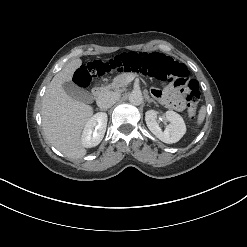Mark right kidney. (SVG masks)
<instances>
[{"mask_svg": "<svg viewBox=\"0 0 247 247\" xmlns=\"http://www.w3.org/2000/svg\"><path fill=\"white\" fill-rule=\"evenodd\" d=\"M107 127V114L96 113L86 123L82 136V146L91 148L97 146L103 139Z\"/></svg>", "mask_w": 247, "mask_h": 247, "instance_id": "obj_1", "label": "right kidney"}]
</instances>
